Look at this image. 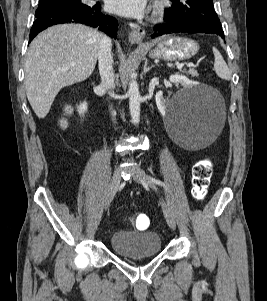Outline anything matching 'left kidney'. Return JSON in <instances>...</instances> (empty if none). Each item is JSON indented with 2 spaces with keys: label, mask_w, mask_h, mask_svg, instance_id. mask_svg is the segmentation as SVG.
<instances>
[{
  "label": "left kidney",
  "mask_w": 267,
  "mask_h": 301,
  "mask_svg": "<svg viewBox=\"0 0 267 301\" xmlns=\"http://www.w3.org/2000/svg\"><path fill=\"white\" fill-rule=\"evenodd\" d=\"M170 82L180 83L184 89L188 87L197 86V83L190 81L188 78L182 75H172L170 76ZM156 104L161 112H164L166 109L167 102L163 98L162 92H158L156 95Z\"/></svg>",
  "instance_id": "left-kidney-1"
}]
</instances>
